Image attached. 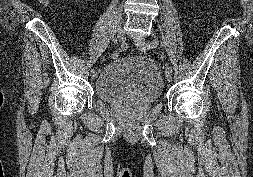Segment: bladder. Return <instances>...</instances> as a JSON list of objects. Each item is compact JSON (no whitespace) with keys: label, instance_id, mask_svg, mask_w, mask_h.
<instances>
[{"label":"bladder","instance_id":"1","mask_svg":"<svg viewBox=\"0 0 253 177\" xmlns=\"http://www.w3.org/2000/svg\"><path fill=\"white\" fill-rule=\"evenodd\" d=\"M163 90L164 82L156 64L135 56L114 58L94 83L95 95L106 103L127 99L148 107L161 99Z\"/></svg>","mask_w":253,"mask_h":177}]
</instances>
